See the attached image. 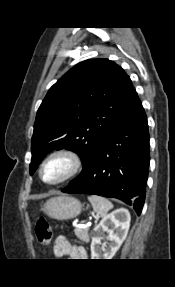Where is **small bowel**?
<instances>
[{
    "label": "small bowel",
    "mask_w": 175,
    "mask_h": 287,
    "mask_svg": "<svg viewBox=\"0 0 175 287\" xmlns=\"http://www.w3.org/2000/svg\"><path fill=\"white\" fill-rule=\"evenodd\" d=\"M54 253L58 258L70 257L74 260L87 258V252L82 246L71 245L64 236H58L55 240Z\"/></svg>",
    "instance_id": "1"
}]
</instances>
